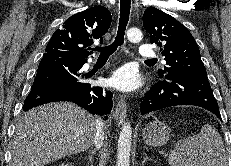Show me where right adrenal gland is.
Instances as JSON below:
<instances>
[{"label": "right adrenal gland", "instance_id": "obj_1", "mask_svg": "<svg viewBox=\"0 0 231 166\" xmlns=\"http://www.w3.org/2000/svg\"><path fill=\"white\" fill-rule=\"evenodd\" d=\"M95 154V150H89V155L85 157L86 160H89L90 166H93V155Z\"/></svg>", "mask_w": 231, "mask_h": 166}]
</instances>
